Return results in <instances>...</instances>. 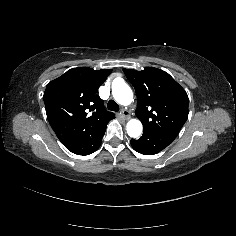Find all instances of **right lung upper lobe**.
<instances>
[{
    "mask_svg": "<svg viewBox=\"0 0 236 236\" xmlns=\"http://www.w3.org/2000/svg\"><path fill=\"white\" fill-rule=\"evenodd\" d=\"M111 72L73 68L46 86L43 99L47 119L65 147L104 129L115 118L104 109L97 94Z\"/></svg>",
    "mask_w": 236,
    "mask_h": 236,
    "instance_id": "right-lung-upper-lobe-1",
    "label": "right lung upper lobe"
}]
</instances>
